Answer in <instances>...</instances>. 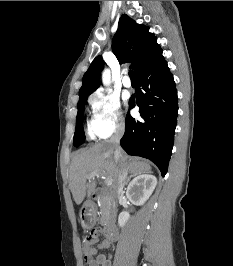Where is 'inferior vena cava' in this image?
I'll list each match as a JSON object with an SVG mask.
<instances>
[{
	"instance_id": "obj_1",
	"label": "inferior vena cava",
	"mask_w": 233,
	"mask_h": 266,
	"mask_svg": "<svg viewBox=\"0 0 233 266\" xmlns=\"http://www.w3.org/2000/svg\"><path fill=\"white\" fill-rule=\"evenodd\" d=\"M124 134V126L118 125L114 135L110 139V143L114 146V157L117 161L122 160V149L120 147V139ZM127 179V169L125 166H122L118 176V183H117V193L120 195L123 192V188L126 184Z\"/></svg>"
}]
</instances>
